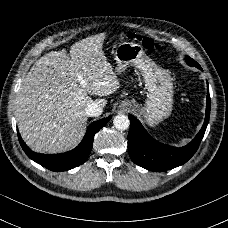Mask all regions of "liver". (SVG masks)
<instances>
[{
  "label": "liver",
  "mask_w": 228,
  "mask_h": 228,
  "mask_svg": "<svg viewBox=\"0 0 228 228\" xmlns=\"http://www.w3.org/2000/svg\"><path fill=\"white\" fill-rule=\"evenodd\" d=\"M106 34L82 39L70 52L41 57L20 85L15 117L22 137L40 152L74 147L84 133L87 105L92 95L106 97L121 89V82L104 52ZM96 103L105 107L106 100Z\"/></svg>",
  "instance_id": "1"
}]
</instances>
